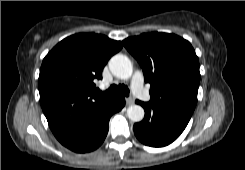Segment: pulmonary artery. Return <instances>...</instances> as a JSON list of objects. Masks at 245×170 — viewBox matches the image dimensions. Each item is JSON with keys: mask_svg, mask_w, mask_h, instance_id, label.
<instances>
[{"mask_svg": "<svg viewBox=\"0 0 245 170\" xmlns=\"http://www.w3.org/2000/svg\"><path fill=\"white\" fill-rule=\"evenodd\" d=\"M131 86L133 92L141 99H145L144 78L141 72L137 71L132 79Z\"/></svg>", "mask_w": 245, "mask_h": 170, "instance_id": "pulmonary-artery-1", "label": "pulmonary artery"}]
</instances>
